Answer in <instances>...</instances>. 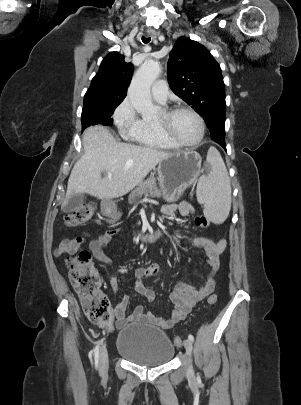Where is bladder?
<instances>
[{"label":"bladder","mask_w":301,"mask_h":405,"mask_svg":"<svg viewBox=\"0 0 301 405\" xmlns=\"http://www.w3.org/2000/svg\"><path fill=\"white\" fill-rule=\"evenodd\" d=\"M116 350L128 361L147 367L166 364L174 356V346L168 335L157 327L145 324L121 329Z\"/></svg>","instance_id":"31cf9c89"}]
</instances>
